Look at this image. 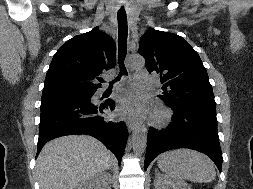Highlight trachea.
<instances>
[{
    "mask_svg": "<svg viewBox=\"0 0 253 189\" xmlns=\"http://www.w3.org/2000/svg\"><path fill=\"white\" fill-rule=\"evenodd\" d=\"M118 59H119V66H120V74L115 79L118 81L122 75L127 74V70L124 65V60L126 57V46H127V35H128V27H127V17L126 14H118ZM113 83H110V87H112Z\"/></svg>",
    "mask_w": 253,
    "mask_h": 189,
    "instance_id": "trachea-1",
    "label": "trachea"
}]
</instances>
